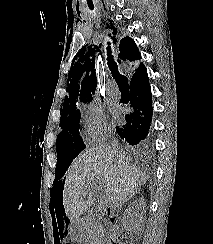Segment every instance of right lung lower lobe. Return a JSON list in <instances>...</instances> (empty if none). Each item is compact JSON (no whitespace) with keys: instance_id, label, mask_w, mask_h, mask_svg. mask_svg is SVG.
<instances>
[{"instance_id":"98d812e1","label":"right lung lower lobe","mask_w":213,"mask_h":244,"mask_svg":"<svg viewBox=\"0 0 213 244\" xmlns=\"http://www.w3.org/2000/svg\"><path fill=\"white\" fill-rule=\"evenodd\" d=\"M130 94L132 112L125 115V123L116 126V131L135 154L148 158L153 150L152 140L148 136L153 111L146 68L130 82Z\"/></svg>"}]
</instances>
